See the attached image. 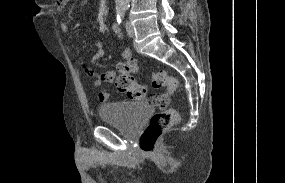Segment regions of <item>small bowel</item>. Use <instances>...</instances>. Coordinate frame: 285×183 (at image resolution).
Segmentation results:
<instances>
[{
  "instance_id": "1",
  "label": "small bowel",
  "mask_w": 285,
  "mask_h": 183,
  "mask_svg": "<svg viewBox=\"0 0 285 183\" xmlns=\"http://www.w3.org/2000/svg\"><path fill=\"white\" fill-rule=\"evenodd\" d=\"M69 0H66L67 2ZM63 2V3H65ZM64 9V6L61 5L58 7L59 11H62ZM60 28L64 33H67L69 31V26L67 22H61ZM113 31L115 33H119L120 29L117 25L113 26ZM96 51L91 59V61L86 65V69H90L96 61H98L100 58H102L105 55V48L104 44L102 42H96L95 44ZM122 57L124 60H128L131 57V50L129 48H125L122 52ZM90 71V77L93 79L94 86L99 89L98 91V99L100 102H106L108 99V91L104 87L105 84H110L113 82L115 78V71L108 70L103 72H96V71Z\"/></svg>"
}]
</instances>
